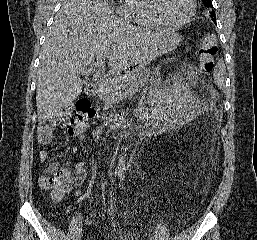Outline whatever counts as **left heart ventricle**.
Listing matches in <instances>:
<instances>
[{
  "label": "left heart ventricle",
  "instance_id": "b2bd125f",
  "mask_svg": "<svg viewBox=\"0 0 257 240\" xmlns=\"http://www.w3.org/2000/svg\"><path fill=\"white\" fill-rule=\"evenodd\" d=\"M157 5L164 17L169 20H180L189 11V0H157Z\"/></svg>",
  "mask_w": 257,
  "mask_h": 240
}]
</instances>
